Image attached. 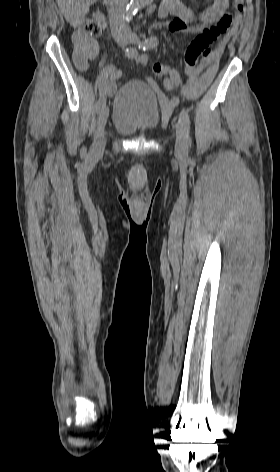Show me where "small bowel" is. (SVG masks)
Listing matches in <instances>:
<instances>
[{
	"mask_svg": "<svg viewBox=\"0 0 280 472\" xmlns=\"http://www.w3.org/2000/svg\"><path fill=\"white\" fill-rule=\"evenodd\" d=\"M161 6L167 10V14L174 16V19L169 23L171 32L177 34H194L200 33L209 25L216 23L226 13L229 7V0H214L212 5L203 10L200 14H195L193 10L182 3L181 0H163ZM100 27L103 28L104 24L100 23ZM237 30V26H234L222 38L219 44L212 49L210 55L202 58L199 63L196 65L186 64L185 73L188 77V81L179 90L183 97L188 100H195L209 87L218 71L219 60L225 44L236 35ZM72 42L73 57L80 56L83 58L86 61V66L81 69H86L88 63L94 60L98 55L97 41L80 31H76L73 34ZM134 59L138 67H145L148 63V57L145 54L137 55ZM119 78L120 72L115 69L107 85V92L109 94H113L117 90ZM147 80L158 96L163 117L168 119L178 106L179 99L175 96L165 94L150 77H147ZM164 87L168 91L175 90L169 77L164 80Z\"/></svg>",
	"mask_w": 280,
	"mask_h": 472,
	"instance_id": "small-bowel-1",
	"label": "small bowel"
}]
</instances>
